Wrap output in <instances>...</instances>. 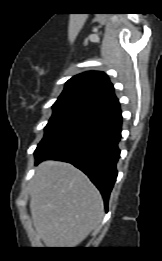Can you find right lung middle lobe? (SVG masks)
I'll use <instances>...</instances> for the list:
<instances>
[{"instance_id": "right-lung-middle-lobe-1", "label": "right lung middle lobe", "mask_w": 162, "mask_h": 261, "mask_svg": "<svg viewBox=\"0 0 162 261\" xmlns=\"http://www.w3.org/2000/svg\"><path fill=\"white\" fill-rule=\"evenodd\" d=\"M103 107L100 101L85 95L61 94L53 105V115L45 127L44 138L38 146L64 126Z\"/></svg>"}]
</instances>
